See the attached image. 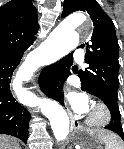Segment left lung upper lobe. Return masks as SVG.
Segmentation results:
<instances>
[{
	"label": "left lung upper lobe",
	"instance_id": "1",
	"mask_svg": "<svg viewBox=\"0 0 124 149\" xmlns=\"http://www.w3.org/2000/svg\"><path fill=\"white\" fill-rule=\"evenodd\" d=\"M77 10L86 11L94 25L85 54L89 67L80 70L78 76L83 86L108 93L117 102L119 46L114 24L95 0H64L62 17Z\"/></svg>",
	"mask_w": 124,
	"mask_h": 149
}]
</instances>
